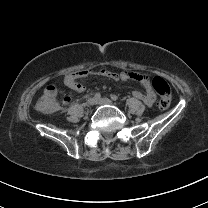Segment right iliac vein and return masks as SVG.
<instances>
[{"label":"right iliac vein","mask_w":208,"mask_h":208,"mask_svg":"<svg viewBox=\"0 0 208 208\" xmlns=\"http://www.w3.org/2000/svg\"><path fill=\"white\" fill-rule=\"evenodd\" d=\"M96 104V99L95 98H89L88 100H87V105L88 106H93V105H95Z\"/></svg>","instance_id":"63e3f726"}]
</instances>
